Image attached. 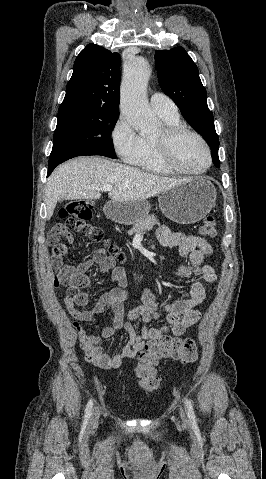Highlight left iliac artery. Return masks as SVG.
Here are the masks:
<instances>
[{"mask_svg":"<svg viewBox=\"0 0 266 479\" xmlns=\"http://www.w3.org/2000/svg\"><path fill=\"white\" fill-rule=\"evenodd\" d=\"M185 406L187 409V414L190 420L195 421V413L191 401L188 398H185Z\"/></svg>","mask_w":266,"mask_h":479,"instance_id":"44dca946","label":"left iliac artery"}]
</instances>
